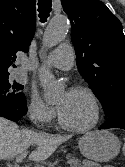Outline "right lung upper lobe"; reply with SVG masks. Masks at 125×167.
<instances>
[{"label": "right lung upper lobe", "mask_w": 125, "mask_h": 167, "mask_svg": "<svg viewBox=\"0 0 125 167\" xmlns=\"http://www.w3.org/2000/svg\"><path fill=\"white\" fill-rule=\"evenodd\" d=\"M35 27V0H0V74L15 67L17 51H29Z\"/></svg>", "instance_id": "1"}]
</instances>
